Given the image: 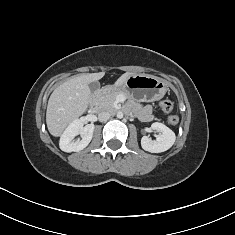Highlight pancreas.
<instances>
[{
    "instance_id": "cf45deb5",
    "label": "pancreas",
    "mask_w": 235,
    "mask_h": 235,
    "mask_svg": "<svg viewBox=\"0 0 235 235\" xmlns=\"http://www.w3.org/2000/svg\"><path fill=\"white\" fill-rule=\"evenodd\" d=\"M119 95H124V93L120 91H110L105 94H98L96 103L100 108L114 110L116 109V99Z\"/></svg>"
}]
</instances>
